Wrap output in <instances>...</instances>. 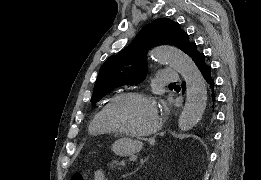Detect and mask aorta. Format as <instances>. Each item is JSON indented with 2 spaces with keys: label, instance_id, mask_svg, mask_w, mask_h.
<instances>
[{
  "label": "aorta",
  "instance_id": "obj_1",
  "mask_svg": "<svg viewBox=\"0 0 261 180\" xmlns=\"http://www.w3.org/2000/svg\"><path fill=\"white\" fill-rule=\"evenodd\" d=\"M153 60L166 63L181 74L186 83V102L178 120L181 131L191 130L201 119L207 105L205 80L194 61L181 50L162 46L150 51Z\"/></svg>",
  "mask_w": 261,
  "mask_h": 180
}]
</instances>
